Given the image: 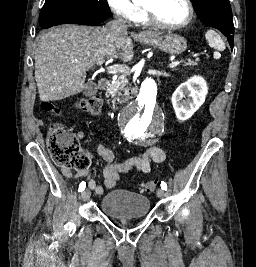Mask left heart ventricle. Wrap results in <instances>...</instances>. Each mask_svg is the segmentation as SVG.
<instances>
[{
  "label": "left heart ventricle",
  "mask_w": 256,
  "mask_h": 267,
  "mask_svg": "<svg viewBox=\"0 0 256 267\" xmlns=\"http://www.w3.org/2000/svg\"><path fill=\"white\" fill-rule=\"evenodd\" d=\"M152 21L156 26L181 23L187 16L186 7L177 1L165 0L159 4H150Z\"/></svg>",
  "instance_id": "left-heart-ventricle-1"
}]
</instances>
